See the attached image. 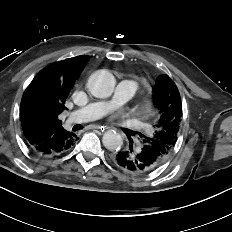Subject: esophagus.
I'll use <instances>...</instances> for the list:
<instances>
[{
    "label": "esophagus",
    "instance_id": "esophagus-1",
    "mask_svg": "<svg viewBox=\"0 0 232 232\" xmlns=\"http://www.w3.org/2000/svg\"><path fill=\"white\" fill-rule=\"evenodd\" d=\"M92 128L93 129H98L101 132H104L106 129H108L106 126H100V125H93Z\"/></svg>",
    "mask_w": 232,
    "mask_h": 232
}]
</instances>
